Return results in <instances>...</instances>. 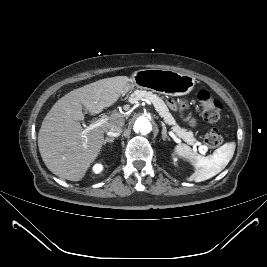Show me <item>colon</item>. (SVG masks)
<instances>
[{
  "instance_id": "5ec220e1",
  "label": "colon",
  "mask_w": 267,
  "mask_h": 267,
  "mask_svg": "<svg viewBox=\"0 0 267 267\" xmlns=\"http://www.w3.org/2000/svg\"><path fill=\"white\" fill-rule=\"evenodd\" d=\"M197 98L201 106L203 118L210 123L217 122L221 117V103L204 89L198 91ZM204 142L209 148H217L222 144L223 137L218 129H212L206 133Z\"/></svg>"
}]
</instances>
